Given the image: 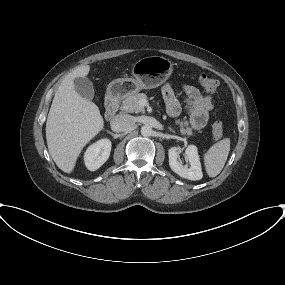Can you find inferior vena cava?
<instances>
[{
    "mask_svg": "<svg viewBox=\"0 0 285 285\" xmlns=\"http://www.w3.org/2000/svg\"><path fill=\"white\" fill-rule=\"evenodd\" d=\"M134 124L133 116L129 114H118L111 120V129L114 132H124L131 129Z\"/></svg>",
    "mask_w": 285,
    "mask_h": 285,
    "instance_id": "1",
    "label": "inferior vena cava"
}]
</instances>
